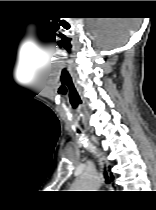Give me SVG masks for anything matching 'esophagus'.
<instances>
[{"label":"esophagus","mask_w":156,"mask_h":210,"mask_svg":"<svg viewBox=\"0 0 156 210\" xmlns=\"http://www.w3.org/2000/svg\"><path fill=\"white\" fill-rule=\"evenodd\" d=\"M92 140H93L96 144H98L97 139H96L95 136H92ZM107 165H108V168H110V163H107ZM109 181H110L109 190H110V191H113V190L116 188V185H115V175H111V176H110V172H109Z\"/></svg>","instance_id":"34e87169"}]
</instances>
